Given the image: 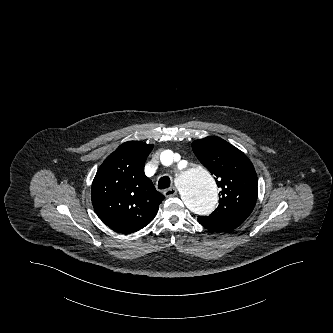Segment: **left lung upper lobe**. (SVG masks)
<instances>
[{"label":"left lung upper lobe","mask_w":333,"mask_h":333,"mask_svg":"<svg viewBox=\"0 0 333 333\" xmlns=\"http://www.w3.org/2000/svg\"><path fill=\"white\" fill-rule=\"evenodd\" d=\"M192 149L221 189L218 207L209 216H199V223L215 232L237 228L256 204L258 179L253 164L243 152L215 136L194 141Z\"/></svg>","instance_id":"left-lung-upper-lobe-1"}]
</instances>
